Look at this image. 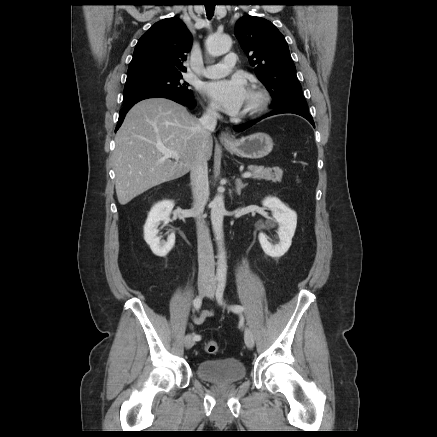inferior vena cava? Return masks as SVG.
<instances>
[{
  "instance_id": "obj_1",
  "label": "inferior vena cava",
  "mask_w": 437,
  "mask_h": 437,
  "mask_svg": "<svg viewBox=\"0 0 437 437\" xmlns=\"http://www.w3.org/2000/svg\"><path fill=\"white\" fill-rule=\"evenodd\" d=\"M219 113L214 108H208L200 118L203 140L197 161L192 165L190 172L191 188L193 195V207L198 242V281L212 283L215 281V262L212 242L209 230L203 219V212L209 196L208 165L204 154L207 139L214 131Z\"/></svg>"
}]
</instances>
